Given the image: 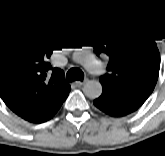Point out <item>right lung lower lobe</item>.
<instances>
[{
  "mask_svg": "<svg viewBox=\"0 0 165 156\" xmlns=\"http://www.w3.org/2000/svg\"><path fill=\"white\" fill-rule=\"evenodd\" d=\"M67 98V97H66ZM66 98L63 100V102L66 100ZM62 102V103H63ZM62 103H60L58 105V107L56 109H54L52 112H50L49 114L43 116L42 118L38 119L37 121L33 122V123H42V122H46L48 121L49 119H51L55 114L56 112L59 110L60 106L62 105Z\"/></svg>",
  "mask_w": 165,
  "mask_h": 156,
  "instance_id": "obj_1",
  "label": "right lung lower lobe"
}]
</instances>
